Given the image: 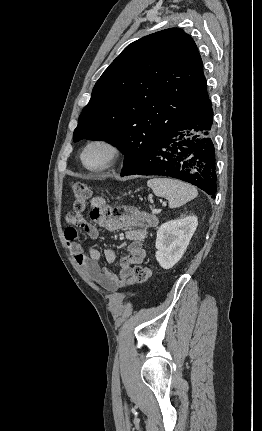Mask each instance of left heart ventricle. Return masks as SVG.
Masks as SVG:
<instances>
[{
    "label": "left heart ventricle",
    "instance_id": "b2bd125f",
    "mask_svg": "<svg viewBox=\"0 0 262 431\" xmlns=\"http://www.w3.org/2000/svg\"><path fill=\"white\" fill-rule=\"evenodd\" d=\"M107 158V151L100 146L91 148L85 156V163L89 167H98L102 165Z\"/></svg>",
    "mask_w": 262,
    "mask_h": 431
}]
</instances>
